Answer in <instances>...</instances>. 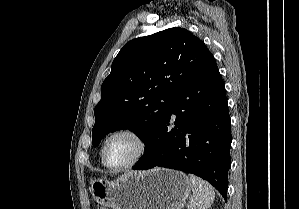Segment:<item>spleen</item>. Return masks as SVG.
Wrapping results in <instances>:
<instances>
[{
    "label": "spleen",
    "mask_w": 299,
    "mask_h": 209,
    "mask_svg": "<svg viewBox=\"0 0 299 209\" xmlns=\"http://www.w3.org/2000/svg\"><path fill=\"white\" fill-rule=\"evenodd\" d=\"M188 179L193 194L189 200L187 209H208L215 198V192L212 186L193 174H189Z\"/></svg>",
    "instance_id": "spleen-1"
}]
</instances>
